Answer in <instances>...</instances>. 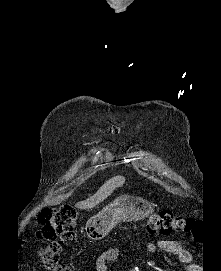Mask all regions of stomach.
I'll use <instances>...</instances> for the list:
<instances>
[{
	"label": "stomach",
	"instance_id": "stomach-1",
	"mask_svg": "<svg viewBox=\"0 0 221 271\" xmlns=\"http://www.w3.org/2000/svg\"><path fill=\"white\" fill-rule=\"evenodd\" d=\"M149 211L150 202H145V197H119L88 219L85 225L86 233L90 239H103L108 231L123 219H143Z\"/></svg>",
	"mask_w": 221,
	"mask_h": 271
}]
</instances>
